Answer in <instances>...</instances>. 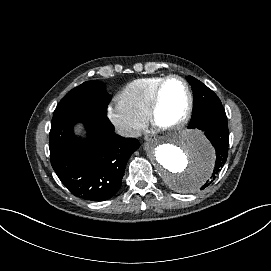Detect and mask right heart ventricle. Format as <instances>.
I'll list each match as a JSON object with an SVG mask.
<instances>
[{"label":"right heart ventricle","instance_id":"1","mask_svg":"<svg viewBox=\"0 0 271 271\" xmlns=\"http://www.w3.org/2000/svg\"><path fill=\"white\" fill-rule=\"evenodd\" d=\"M166 75H153L137 78L127 83L119 97L134 114L146 119L149 117L152 94Z\"/></svg>","mask_w":271,"mask_h":271}]
</instances>
